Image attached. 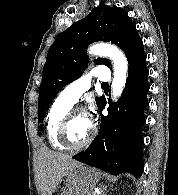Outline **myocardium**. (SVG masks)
Here are the masks:
<instances>
[{"label":"myocardium","mask_w":178,"mask_h":195,"mask_svg":"<svg viewBox=\"0 0 178 195\" xmlns=\"http://www.w3.org/2000/svg\"><path fill=\"white\" fill-rule=\"evenodd\" d=\"M78 114H86L85 109L80 107L71 108L66 115L64 116L58 130V140L59 142L66 147V149L77 151L82 150L86 148L90 143L93 141L95 135H96V126L92 124L91 133L89 137L81 144L79 145H73L70 143L68 139V129L72 122V120L77 116Z\"/></svg>","instance_id":"f54148a6"}]
</instances>
